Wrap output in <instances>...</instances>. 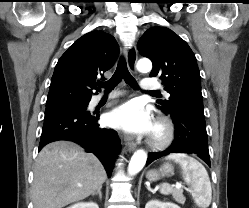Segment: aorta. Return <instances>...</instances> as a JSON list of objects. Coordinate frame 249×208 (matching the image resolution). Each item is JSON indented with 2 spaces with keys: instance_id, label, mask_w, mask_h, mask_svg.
Returning a JSON list of instances; mask_svg holds the SVG:
<instances>
[{
  "instance_id": "762f6f07",
  "label": "aorta",
  "mask_w": 249,
  "mask_h": 208,
  "mask_svg": "<svg viewBox=\"0 0 249 208\" xmlns=\"http://www.w3.org/2000/svg\"><path fill=\"white\" fill-rule=\"evenodd\" d=\"M137 69L140 72H149L152 69V63L149 59H140L137 63ZM147 160V153L144 150H137L128 165V174L130 176L139 173Z\"/></svg>"
}]
</instances>
